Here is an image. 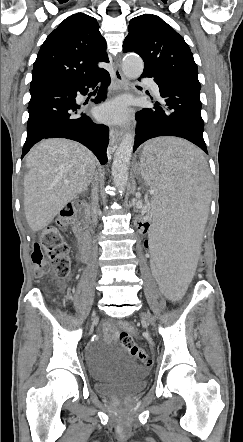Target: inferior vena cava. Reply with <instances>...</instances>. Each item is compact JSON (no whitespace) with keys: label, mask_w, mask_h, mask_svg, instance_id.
<instances>
[{"label":"inferior vena cava","mask_w":243,"mask_h":442,"mask_svg":"<svg viewBox=\"0 0 243 442\" xmlns=\"http://www.w3.org/2000/svg\"><path fill=\"white\" fill-rule=\"evenodd\" d=\"M97 177L95 175V181ZM92 211H91V215H92V221L95 225H97L98 219H97V213H96V206L98 204V188H97V184L94 186V188L92 189Z\"/></svg>","instance_id":"1"}]
</instances>
